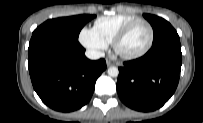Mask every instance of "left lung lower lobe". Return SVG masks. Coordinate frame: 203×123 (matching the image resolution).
Wrapping results in <instances>:
<instances>
[{"label": "left lung lower lobe", "mask_w": 203, "mask_h": 123, "mask_svg": "<svg viewBox=\"0 0 203 123\" xmlns=\"http://www.w3.org/2000/svg\"><path fill=\"white\" fill-rule=\"evenodd\" d=\"M182 65L179 36L169 37L119 68L117 92L128 107L143 112L162 107L174 94Z\"/></svg>", "instance_id": "left-lung-lower-lobe-1"}]
</instances>
